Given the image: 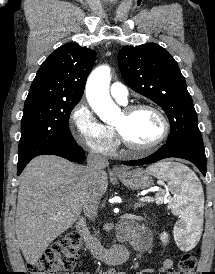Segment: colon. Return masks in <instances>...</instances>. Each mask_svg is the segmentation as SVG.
<instances>
[{
  "instance_id": "1",
  "label": "colon",
  "mask_w": 215,
  "mask_h": 274,
  "mask_svg": "<svg viewBox=\"0 0 215 274\" xmlns=\"http://www.w3.org/2000/svg\"><path fill=\"white\" fill-rule=\"evenodd\" d=\"M81 237L78 232H70L49 247L38 261L28 266L31 274H61L70 270L79 256ZM197 262L196 252L181 256L178 274H193Z\"/></svg>"
}]
</instances>
